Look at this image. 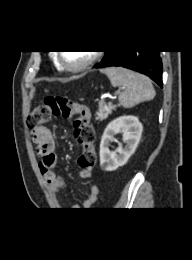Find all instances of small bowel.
Listing matches in <instances>:
<instances>
[{"instance_id": "c3829d8e", "label": "small bowel", "mask_w": 192, "mask_h": 260, "mask_svg": "<svg viewBox=\"0 0 192 260\" xmlns=\"http://www.w3.org/2000/svg\"><path fill=\"white\" fill-rule=\"evenodd\" d=\"M31 140L36 146V152L40 159L39 169L43 180L46 183L50 193L57 200V195L61 190L67 189L66 182L53 171L58 161L55 139L46 127H38L31 132ZM92 174V168H83L79 172L81 178H89ZM99 194L97 185H92L89 193L82 201V207L88 209L94 205ZM59 204V202L57 201ZM72 209H78L77 204L71 206Z\"/></svg>"}]
</instances>
